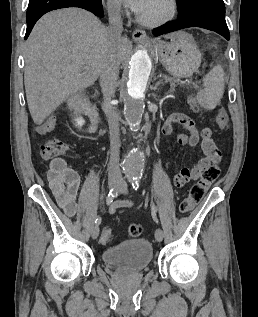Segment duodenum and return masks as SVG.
I'll use <instances>...</instances> for the list:
<instances>
[{"instance_id":"1","label":"duodenum","mask_w":258,"mask_h":317,"mask_svg":"<svg viewBox=\"0 0 258 317\" xmlns=\"http://www.w3.org/2000/svg\"><path fill=\"white\" fill-rule=\"evenodd\" d=\"M76 107H77L78 109L86 110L87 107H88V105H87L86 103H84V102H79V103L76 105Z\"/></svg>"}]
</instances>
